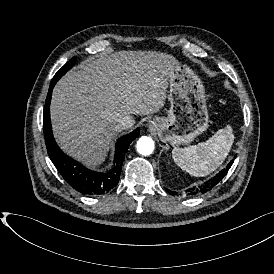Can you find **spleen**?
<instances>
[{"label":"spleen","instance_id":"obj_1","mask_svg":"<svg viewBox=\"0 0 274 274\" xmlns=\"http://www.w3.org/2000/svg\"><path fill=\"white\" fill-rule=\"evenodd\" d=\"M229 129L218 130L209 140L185 148L174 147L172 157L177 165L193 176L214 171L227 156L234 136Z\"/></svg>","mask_w":274,"mask_h":274}]
</instances>
